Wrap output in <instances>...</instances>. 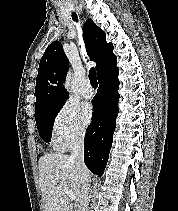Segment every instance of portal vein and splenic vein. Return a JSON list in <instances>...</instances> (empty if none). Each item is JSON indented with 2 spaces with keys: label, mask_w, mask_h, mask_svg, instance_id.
Wrapping results in <instances>:
<instances>
[{
  "label": "portal vein and splenic vein",
  "mask_w": 178,
  "mask_h": 211,
  "mask_svg": "<svg viewBox=\"0 0 178 211\" xmlns=\"http://www.w3.org/2000/svg\"><path fill=\"white\" fill-rule=\"evenodd\" d=\"M63 190L68 195V197L70 198V200H76V196H75L74 193L69 192L67 188H64Z\"/></svg>",
  "instance_id": "portal-vein-and-splenic-vein-1"
}]
</instances>
